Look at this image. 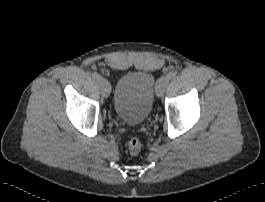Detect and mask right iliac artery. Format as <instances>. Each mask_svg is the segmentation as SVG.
I'll return each mask as SVG.
<instances>
[{
  "label": "right iliac artery",
  "instance_id": "right-iliac-artery-1",
  "mask_svg": "<svg viewBox=\"0 0 265 202\" xmlns=\"http://www.w3.org/2000/svg\"><path fill=\"white\" fill-rule=\"evenodd\" d=\"M91 77L93 80H96V81H98L101 78V76L96 72H92Z\"/></svg>",
  "mask_w": 265,
  "mask_h": 202
}]
</instances>
